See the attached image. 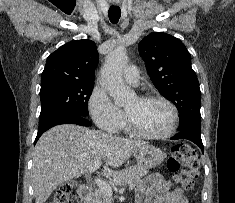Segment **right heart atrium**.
Listing matches in <instances>:
<instances>
[{"instance_id": "right-heart-atrium-1", "label": "right heart atrium", "mask_w": 235, "mask_h": 203, "mask_svg": "<svg viewBox=\"0 0 235 203\" xmlns=\"http://www.w3.org/2000/svg\"><path fill=\"white\" fill-rule=\"evenodd\" d=\"M88 108L92 119L102 130L114 133L122 128L124 113L112 103L102 88H94Z\"/></svg>"}]
</instances>
